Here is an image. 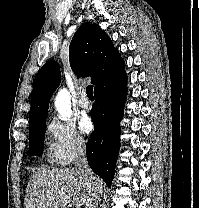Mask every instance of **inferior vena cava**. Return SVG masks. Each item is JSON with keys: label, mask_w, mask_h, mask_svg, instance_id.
<instances>
[{"label": "inferior vena cava", "mask_w": 199, "mask_h": 208, "mask_svg": "<svg viewBox=\"0 0 199 208\" xmlns=\"http://www.w3.org/2000/svg\"><path fill=\"white\" fill-rule=\"evenodd\" d=\"M74 164H75V169L78 172H81L84 177H86L90 181H93L94 176L88 165L86 151L83 143H80L77 147ZM99 201H100L99 195L96 192H94L92 194V197L86 203L85 208H96Z\"/></svg>", "instance_id": "602c4592"}]
</instances>
